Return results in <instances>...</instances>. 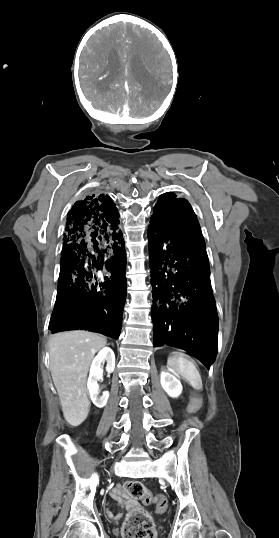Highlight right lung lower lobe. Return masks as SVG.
Returning <instances> with one entry per match:
<instances>
[{
  "label": "right lung lower lobe",
  "instance_id": "98d812e1",
  "mask_svg": "<svg viewBox=\"0 0 279 538\" xmlns=\"http://www.w3.org/2000/svg\"><path fill=\"white\" fill-rule=\"evenodd\" d=\"M109 196L92 195L68 212L50 332L83 329L118 337L126 300V251Z\"/></svg>",
  "mask_w": 279,
  "mask_h": 538
}]
</instances>
